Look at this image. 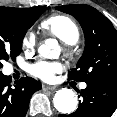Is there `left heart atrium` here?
<instances>
[{
	"mask_svg": "<svg viewBox=\"0 0 117 117\" xmlns=\"http://www.w3.org/2000/svg\"><path fill=\"white\" fill-rule=\"evenodd\" d=\"M64 65L60 61L39 60L29 67V73L45 82H52L56 74L63 71Z\"/></svg>",
	"mask_w": 117,
	"mask_h": 117,
	"instance_id": "left-heart-atrium-1",
	"label": "left heart atrium"
}]
</instances>
